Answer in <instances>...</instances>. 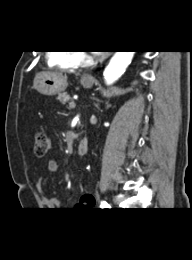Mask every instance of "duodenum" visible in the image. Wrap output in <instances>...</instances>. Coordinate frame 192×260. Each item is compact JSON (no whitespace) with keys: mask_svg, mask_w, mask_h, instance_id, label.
I'll list each match as a JSON object with an SVG mask.
<instances>
[{"mask_svg":"<svg viewBox=\"0 0 192 260\" xmlns=\"http://www.w3.org/2000/svg\"><path fill=\"white\" fill-rule=\"evenodd\" d=\"M88 148H89V142L87 138H83L82 140H80V142L78 143L77 149H76V153L79 156H84L87 154L88 152Z\"/></svg>","mask_w":192,"mask_h":260,"instance_id":"obj_1","label":"duodenum"}]
</instances>
